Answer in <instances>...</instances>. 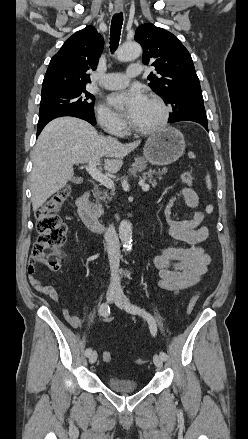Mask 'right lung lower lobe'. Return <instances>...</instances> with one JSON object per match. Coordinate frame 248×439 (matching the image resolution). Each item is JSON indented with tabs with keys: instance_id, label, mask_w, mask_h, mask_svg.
Masks as SVG:
<instances>
[{
	"instance_id": "98d812e1",
	"label": "right lung lower lobe",
	"mask_w": 248,
	"mask_h": 439,
	"mask_svg": "<svg viewBox=\"0 0 248 439\" xmlns=\"http://www.w3.org/2000/svg\"><path fill=\"white\" fill-rule=\"evenodd\" d=\"M62 116H72V117H77L83 120H86L87 122H89L92 125L96 124V119L94 114H89L86 112H81V111H60V112H56L53 113L51 115L45 116L43 118H39L38 121V128H37V137L40 134V132L42 131V129L45 127V125L47 123H49L51 120L58 118V117H62Z\"/></svg>"
}]
</instances>
